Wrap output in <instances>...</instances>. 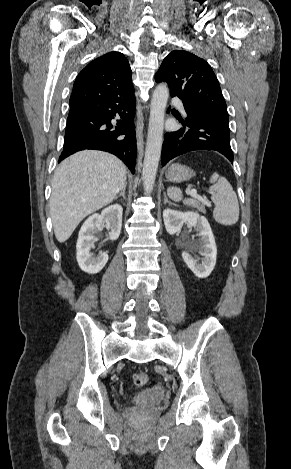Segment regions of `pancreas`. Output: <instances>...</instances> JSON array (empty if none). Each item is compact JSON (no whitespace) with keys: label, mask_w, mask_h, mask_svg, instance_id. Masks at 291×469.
I'll use <instances>...</instances> for the list:
<instances>
[{"label":"pancreas","mask_w":291,"mask_h":469,"mask_svg":"<svg viewBox=\"0 0 291 469\" xmlns=\"http://www.w3.org/2000/svg\"><path fill=\"white\" fill-rule=\"evenodd\" d=\"M183 203L188 207L196 208L200 212H205V206L195 199L187 198Z\"/></svg>","instance_id":"obj_1"}]
</instances>
